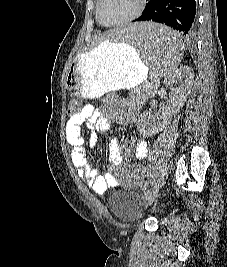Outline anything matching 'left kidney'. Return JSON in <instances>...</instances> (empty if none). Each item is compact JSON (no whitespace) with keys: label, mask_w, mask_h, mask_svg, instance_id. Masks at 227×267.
Masks as SVG:
<instances>
[{"label":"left kidney","mask_w":227,"mask_h":267,"mask_svg":"<svg viewBox=\"0 0 227 267\" xmlns=\"http://www.w3.org/2000/svg\"><path fill=\"white\" fill-rule=\"evenodd\" d=\"M194 73L191 67L183 66L175 70L174 77H166L165 87L170 90L169 104L160 107L157 114L152 115L149 111L141 114L139 119L140 132L146 136H152L163 130L173 116L184 105L193 85Z\"/></svg>","instance_id":"1"}]
</instances>
